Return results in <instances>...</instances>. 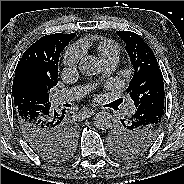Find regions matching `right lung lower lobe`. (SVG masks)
<instances>
[{
    "mask_svg": "<svg viewBox=\"0 0 184 184\" xmlns=\"http://www.w3.org/2000/svg\"><path fill=\"white\" fill-rule=\"evenodd\" d=\"M16 120L28 145L38 154L62 142L68 123L65 111H53L51 103L15 105Z\"/></svg>",
    "mask_w": 184,
    "mask_h": 184,
    "instance_id": "right-lung-lower-lobe-1",
    "label": "right lung lower lobe"
}]
</instances>
